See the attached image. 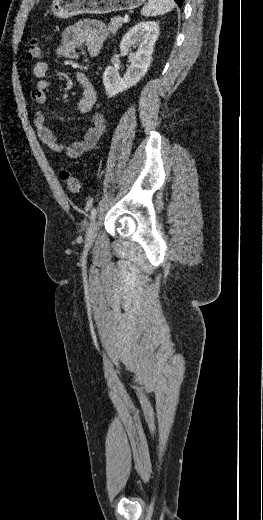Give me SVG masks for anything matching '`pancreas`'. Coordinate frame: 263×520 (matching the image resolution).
I'll use <instances>...</instances> for the list:
<instances>
[{
	"label": "pancreas",
	"mask_w": 263,
	"mask_h": 520,
	"mask_svg": "<svg viewBox=\"0 0 263 520\" xmlns=\"http://www.w3.org/2000/svg\"><path fill=\"white\" fill-rule=\"evenodd\" d=\"M123 18L122 17H113L110 20V23L108 24V31L110 33H116L119 28L123 25Z\"/></svg>",
	"instance_id": "cf45deb5"
}]
</instances>
